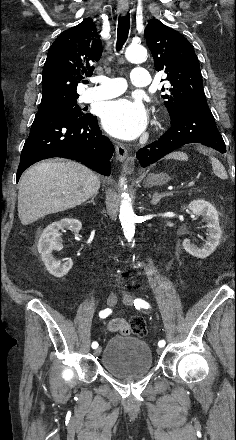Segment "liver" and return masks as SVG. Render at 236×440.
<instances>
[{
    "label": "liver",
    "instance_id": "obj_1",
    "mask_svg": "<svg viewBox=\"0 0 236 440\" xmlns=\"http://www.w3.org/2000/svg\"><path fill=\"white\" fill-rule=\"evenodd\" d=\"M169 158H183L174 153ZM99 177L75 162H42L28 169L20 179L18 216L29 225L53 213L81 205L98 193Z\"/></svg>",
    "mask_w": 236,
    "mask_h": 440
}]
</instances>
